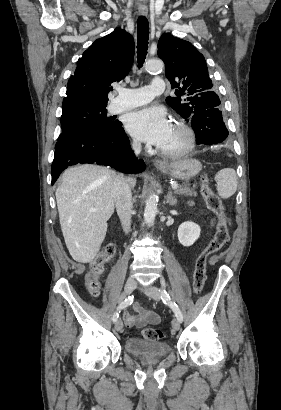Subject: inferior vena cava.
I'll return each mask as SVG.
<instances>
[{
    "instance_id": "602c4592",
    "label": "inferior vena cava",
    "mask_w": 281,
    "mask_h": 410,
    "mask_svg": "<svg viewBox=\"0 0 281 410\" xmlns=\"http://www.w3.org/2000/svg\"><path fill=\"white\" fill-rule=\"evenodd\" d=\"M132 148L136 155L141 152V143L134 141ZM113 197L125 233L130 231L132 215V195L129 178L116 176L113 186Z\"/></svg>"
}]
</instances>
